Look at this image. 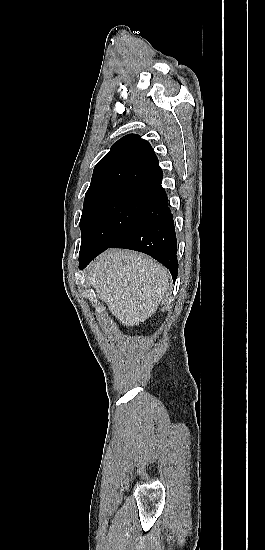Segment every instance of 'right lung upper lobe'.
Returning a JSON list of instances; mask_svg holds the SVG:
<instances>
[{"label": "right lung upper lobe", "mask_w": 265, "mask_h": 550, "mask_svg": "<svg viewBox=\"0 0 265 550\" xmlns=\"http://www.w3.org/2000/svg\"><path fill=\"white\" fill-rule=\"evenodd\" d=\"M162 178L151 145L130 134L118 140L97 163L85 200L119 188L161 187Z\"/></svg>", "instance_id": "1"}]
</instances>
